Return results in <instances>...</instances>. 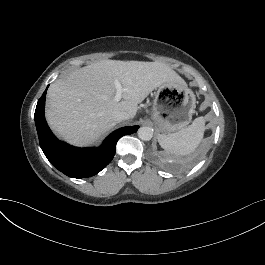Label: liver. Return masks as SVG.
<instances>
[{"instance_id":"liver-1","label":"liver","mask_w":265,"mask_h":265,"mask_svg":"<svg viewBox=\"0 0 265 265\" xmlns=\"http://www.w3.org/2000/svg\"><path fill=\"white\" fill-rule=\"evenodd\" d=\"M135 90L115 101L116 83ZM185 88V82L160 62L102 60L55 81L47 93L46 117L52 130L75 144H87L111 130L112 114L129 113L133 119L150 93L158 88Z\"/></svg>"}]
</instances>
